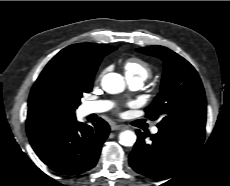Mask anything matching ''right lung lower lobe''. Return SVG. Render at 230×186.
<instances>
[{"label":"right lung lower lobe","instance_id":"right-lung-lower-lobe-1","mask_svg":"<svg viewBox=\"0 0 230 186\" xmlns=\"http://www.w3.org/2000/svg\"><path fill=\"white\" fill-rule=\"evenodd\" d=\"M109 130L101 118L93 126L75 119L50 127L29 140L41 161L52 170L66 175L79 174L96 165Z\"/></svg>","mask_w":230,"mask_h":186}]
</instances>
